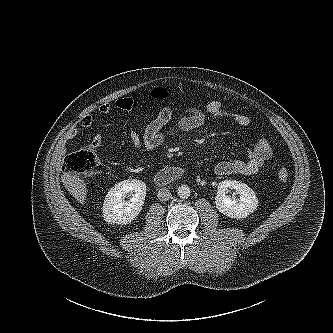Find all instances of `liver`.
<instances>
[{"instance_id": "liver-1", "label": "liver", "mask_w": 333, "mask_h": 333, "mask_svg": "<svg viewBox=\"0 0 333 333\" xmlns=\"http://www.w3.org/2000/svg\"><path fill=\"white\" fill-rule=\"evenodd\" d=\"M61 181L68 192L81 204H84L87 197L86 184L82 179L71 173H63Z\"/></svg>"}]
</instances>
